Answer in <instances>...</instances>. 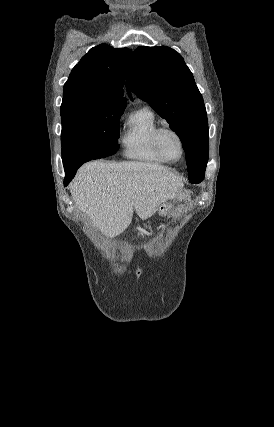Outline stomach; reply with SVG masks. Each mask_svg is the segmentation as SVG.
<instances>
[{
    "mask_svg": "<svg viewBox=\"0 0 274 427\" xmlns=\"http://www.w3.org/2000/svg\"><path fill=\"white\" fill-rule=\"evenodd\" d=\"M169 204H161L158 212L161 215H166L169 212V208H168Z\"/></svg>",
    "mask_w": 274,
    "mask_h": 427,
    "instance_id": "1",
    "label": "stomach"
}]
</instances>
